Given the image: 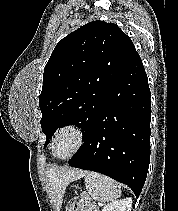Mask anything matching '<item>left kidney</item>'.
<instances>
[{
	"label": "left kidney",
	"instance_id": "left-kidney-1",
	"mask_svg": "<svg viewBox=\"0 0 178 211\" xmlns=\"http://www.w3.org/2000/svg\"><path fill=\"white\" fill-rule=\"evenodd\" d=\"M132 199L115 200L105 205L102 211H131Z\"/></svg>",
	"mask_w": 178,
	"mask_h": 211
}]
</instances>
